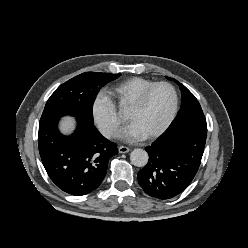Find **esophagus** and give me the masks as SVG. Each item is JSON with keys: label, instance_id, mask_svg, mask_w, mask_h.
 Returning <instances> with one entry per match:
<instances>
[{"label": "esophagus", "instance_id": "esophagus-1", "mask_svg": "<svg viewBox=\"0 0 248 248\" xmlns=\"http://www.w3.org/2000/svg\"><path fill=\"white\" fill-rule=\"evenodd\" d=\"M118 150H119V153H128L131 149L126 146H120Z\"/></svg>", "mask_w": 248, "mask_h": 248}]
</instances>
